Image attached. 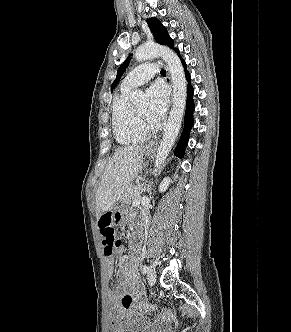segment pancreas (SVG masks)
Masks as SVG:
<instances>
[{
  "instance_id": "1",
  "label": "pancreas",
  "mask_w": 291,
  "mask_h": 332,
  "mask_svg": "<svg viewBox=\"0 0 291 332\" xmlns=\"http://www.w3.org/2000/svg\"><path fill=\"white\" fill-rule=\"evenodd\" d=\"M143 192V185H130L126 188L121 200L124 204L131 205L135 200H139Z\"/></svg>"
}]
</instances>
